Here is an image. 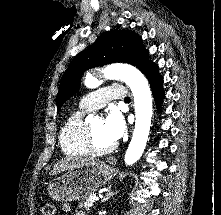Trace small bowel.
Here are the masks:
<instances>
[{
  "instance_id": "obj_1",
  "label": "small bowel",
  "mask_w": 221,
  "mask_h": 215,
  "mask_svg": "<svg viewBox=\"0 0 221 215\" xmlns=\"http://www.w3.org/2000/svg\"><path fill=\"white\" fill-rule=\"evenodd\" d=\"M71 205L69 204V203H64L63 205H62V211L64 212V213H70L71 212ZM76 215H86L85 213H83V212H78Z\"/></svg>"
}]
</instances>
